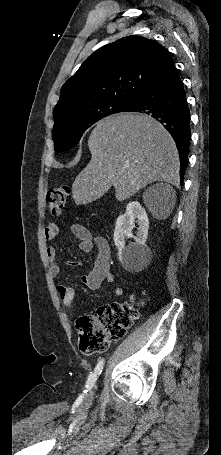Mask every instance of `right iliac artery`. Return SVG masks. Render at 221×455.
Returning a JSON list of instances; mask_svg holds the SVG:
<instances>
[{
    "label": "right iliac artery",
    "mask_w": 221,
    "mask_h": 455,
    "mask_svg": "<svg viewBox=\"0 0 221 455\" xmlns=\"http://www.w3.org/2000/svg\"><path fill=\"white\" fill-rule=\"evenodd\" d=\"M103 365H104V361L100 360L98 362L97 366L95 367L94 372L89 375L87 384H86L87 389L90 390L93 387L95 381L97 380L98 376L102 372Z\"/></svg>",
    "instance_id": "82829eb1"
}]
</instances>
